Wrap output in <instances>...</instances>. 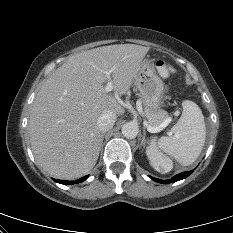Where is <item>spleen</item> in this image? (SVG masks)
<instances>
[{"label":"spleen","mask_w":233,"mask_h":233,"mask_svg":"<svg viewBox=\"0 0 233 233\" xmlns=\"http://www.w3.org/2000/svg\"><path fill=\"white\" fill-rule=\"evenodd\" d=\"M182 107V115L171 129L172 135L162 136L147 149L151 164L160 173H167L173 167L172 161L163 153L188 166L197 160L203 149L206 126L202 111L189 100L184 101Z\"/></svg>","instance_id":"1"}]
</instances>
